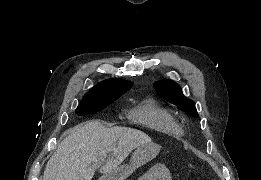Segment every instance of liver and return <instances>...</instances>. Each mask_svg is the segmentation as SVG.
<instances>
[{"label":"liver","mask_w":261,"mask_h":180,"mask_svg":"<svg viewBox=\"0 0 261 180\" xmlns=\"http://www.w3.org/2000/svg\"><path fill=\"white\" fill-rule=\"evenodd\" d=\"M151 138L133 128H105L100 120L75 126L60 142L46 164L43 180H92L100 164L109 174L124 162L132 150L150 144Z\"/></svg>","instance_id":"1"}]
</instances>
